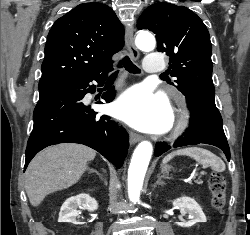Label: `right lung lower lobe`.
<instances>
[{"mask_svg": "<svg viewBox=\"0 0 250 235\" xmlns=\"http://www.w3.org/2000/svg\"><path fill=\"white\" fill-rule=\"evenodd\" d=\"M111 69L39 88L34 126L26 148L25 169L43 148L73 142L97 150L117 168L122 166L129 145L126 131L109 116L100 117L83 103L84 96L95 90L90 82L97 81L102 85ZM114 96L115 90L111 87L102 98L111 102ZM97 103L102 104L101 101Z\"/></svg>", "mask_w": 250, "mask_h": 235, "instance_id": "obj_1", "label": "right lung lower lobe"}]
</instances>
